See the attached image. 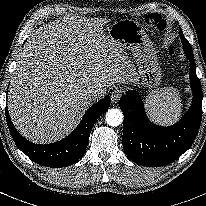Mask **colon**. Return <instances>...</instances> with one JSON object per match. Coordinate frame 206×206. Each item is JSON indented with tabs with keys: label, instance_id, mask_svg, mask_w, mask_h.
Listing matches in <instances>:
<instances>
[{
	"label": "colon",
	"instance_id": "5ec220e1",
	"mask_svg": "<svg viewBox=\"0 0 206 206\" xmlns=\"http://www.w3.org/2000/svg\"><path fill=\"white\" fill-rule=\"evenodd\" d=\"M144 23L151 28H155L158 31H164L166 27L165 20L157 14H151L144 19ZM170 54H173V50L169 51Z\"/></svg>",
	"mask_w": 206,
	"mask_h": 206
}]
</instances>
